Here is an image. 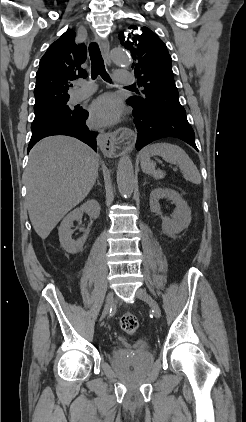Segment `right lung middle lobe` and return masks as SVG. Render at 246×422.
<instances>
[{
	"mask_svg": "<svg viewBox=\"0 0 246 422\" xmlns=\"http://www.w3.org/2000/svg\"><path fill=\"white\" fill-rule=\"evenodd\" d=\"M67 102L68 100H63L39 109H34L35 118L32 122L31 129L51 121L69 120L76 117L79 109H70Z\"/></svg>",
	"mask_w": 246,
	"mask_h": 422,
	"instance_id": "1",
	"label": "right lung middle lobe"
}]
</instances>
